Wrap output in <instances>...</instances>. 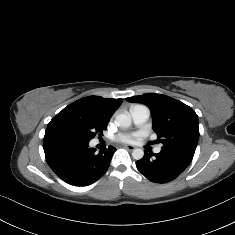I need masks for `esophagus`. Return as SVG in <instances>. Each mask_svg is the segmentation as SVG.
Masks as SVG:
<instances>
[{"label": "esophagus", "mask_w": 235, "mask_h": 235, "mask_svg": "<svg viewBox=\"0 0 235 235\" xmlns=\"http://www.w3.org/2000/svg\"><path fill=\"white\" fill-rule=\"evenodd\" d=\"M123 147H124L125 149L129 150V151H132V150H134V149H135V146L128 145V144L123 145Z\"/></svg>", "instance_id": "obj_1"}]
</instances>
